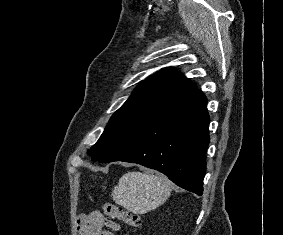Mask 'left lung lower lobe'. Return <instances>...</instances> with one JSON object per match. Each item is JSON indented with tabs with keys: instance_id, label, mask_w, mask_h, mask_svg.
<instances>
[{
	"instance_id": "0a47b994",
	"label": "left lung lower lobe",
	"mask_w": 283,
	"mask_h": 235,
	"mask_svg": "<svg viewBox=\"0 0 283 235\" xmlns=\"http://www.w3.org/2000/svg\"><path fill=\"white\" fill-rule=\"evenodd\" d=\"M207 100L196 90L142 127L104 162L125 161L165 174L178 186L202 195L209 144Z\"/></svg>"
}]
</instances>
